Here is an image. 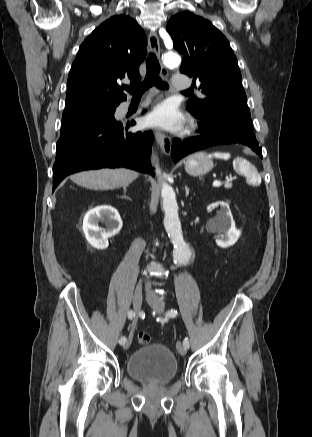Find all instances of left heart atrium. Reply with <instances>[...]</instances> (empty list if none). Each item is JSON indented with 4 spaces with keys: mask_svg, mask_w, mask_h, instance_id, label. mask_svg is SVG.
Instances as JSON below:
<instances>
[{
    "mask_svg": "<svg viewBox=\"0 0 312 437\" xmlns=\"http://www.w3.org/2000/svg\"><path fill=\"white\" fill-rule=\"evenodd\" d=\"M148 124L169 130H179L185 117L172 102H163L156 106L146 118Z\"/></svg>",
    "mask_w": 312,
    "mask_h": 437,
    "instance_id": "obj_1",
    "label": "left heart atrium"
}]
</instances>
